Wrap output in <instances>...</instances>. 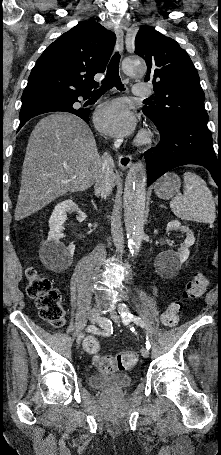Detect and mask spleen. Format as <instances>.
Returning a JSON list of instances; mask_svg holds the SVG:
<instances>
[{
  "instance_id": "1",
  "label": "spleen",
  "mask_w": 221,
  "mask_h": 455,
  "mask_svg": "<svg viewBox=\"0 0 221 455\" xmlns=\"http://www.w3.org/2000/svg\"><path fill=\"white\" fill-rule=\"evenodd\" d=\"M184 195L170 201L172 212L180 219L200 223H213L216 208L213 195L206 182L193 172H185Z\"/></svg>"
}]
</instances>
